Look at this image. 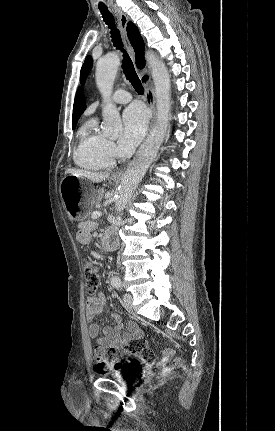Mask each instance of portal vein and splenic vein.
Wrapping results in <instances>:
<instances>
[{
	"label": "portal vein and splenic vein",
	"instance_id": "18ae733b",
	"mask_svg": "<svg viewBox=\"0 0 275 431\" xmlns=\"http://www.w3.org/2000/svg\"><path fill=\"white\" fill-rule=\"evenodd\" d=\"M102 215V213L100 212V211H94L92 214H91V218L92 219H97L98 217H100Z\"/></svg>",
	"mask_w": 275,
	"mask_h": 431
}]
</instances>
